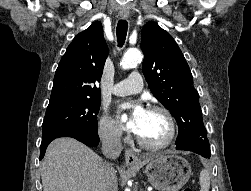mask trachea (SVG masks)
Returning a JSON list of instances; mask_svg holds the SVG:
<instances>
[{
  "label": "trachea",
  "mask_w": 251,
  "mask_h": 191,
  "mask_svg": "<svg viewBox=\"0 0 251 191\" xmlns=\"http://www.w3.org/2000/svg\"><path fill=\"white\" fill-rule=\"evenodd\" d=\"M128 23L126 20H119L116 27L118 46H123L127 36Z\"/></svg>",
  "instance_id": "1"
}]
</instances>
